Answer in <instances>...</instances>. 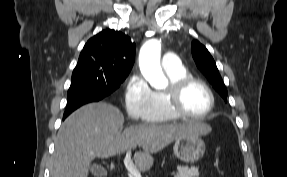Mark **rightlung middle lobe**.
Instances as JSON below:
<instances>
[{
	"mask_svg": "<svg viewBox=\"0 0 287 177\" xmlns=\"http://www.w3.org/2000/svg\"><path fill=\"white\" fill-rule=\"evenodd\" d=\"M127 76H111L98 70L75 67L67 95L82 90L103 91L110 95Z\"/></svg>",
	"mask_w": 287,
	"mask_h": 177,
	"instance_id": "right-lung-middle-lobe-1",
	"label": "right lung middle lobe"
}]
</instances>
